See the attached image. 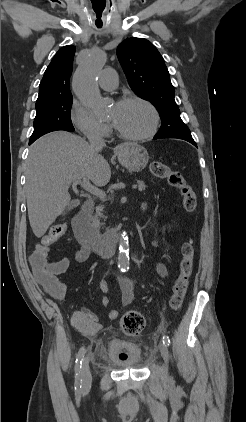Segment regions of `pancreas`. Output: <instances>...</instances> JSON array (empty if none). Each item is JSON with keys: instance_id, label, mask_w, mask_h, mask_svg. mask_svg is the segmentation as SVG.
<instances>
[{"instance_id": "cf45deb5", "label": "pancreas", "mask_w": 246, "mask_h": 422, "mask_svg": "<svg viewBox=\"0 0 246 422\" xmlns=\"http://www.w3.org/2000/svg\"><path fill=\"white\" fill-rule=\"evenodd\" d=\"M138 184H139V190H144L145 189V184H144V182L143 181H138ZM141 188V189H140ZM103 209H104V206H98L97 208H96V214H95V217H94V223L95 224H99L100 223V219L102 218V217H105V216H103Z\"/></svg>"}]
</instances>
